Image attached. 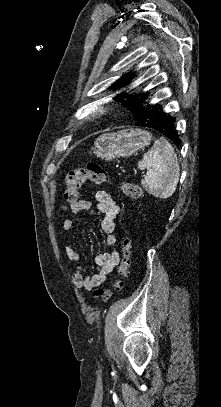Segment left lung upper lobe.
<instances>
[{
  "mask_svg": "<svg viewBox=\"0 0 221 407\" xmlns=\"http://www.w3.org/2000/svg\"><path fill=\"white\" fill-rule=\"evenodd\" d=\"M132 73H127L126 75H123L117 82H115L110 88L113 89H118L122 86H125L127 84L130 83L131 77H132ZM142 93L136 94V95H132V94H128V93H124L118 95L117 97H115L116 100H122V104L132 113V115L135 118V115L141 105V97H142ZM123 98H125L126 100H124Z\"/></svg>",
  "mask_w": 221,
  "mask_h": 407,
  "instance_id": "left-lung-upper-lobe-1",
  "label": "left lung upper lobe"
}]
</instances>
